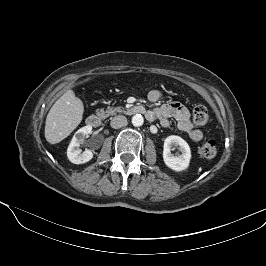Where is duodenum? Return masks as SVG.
<instances>
[{
	"label": "duodenum",
	"instance_id": "410a0bca",
	"mask_svg": "<svg viewBox=\"0 0 266 266\" xmlns=\"http://www.w3.org/2000/svg\"><path fill=\"white\" fill-rule=\"evenodd\" d=\"M127 113L129 115H135V114H147L145 108L140 105L132 106L127 110ZM87 125L93 128H99L102 125V118L98 115L92 114L87 117L86 119Z\"/></svg>",
	"mask_w": 266,
	"mask_h": 266
}]
</instances>
